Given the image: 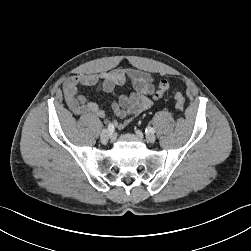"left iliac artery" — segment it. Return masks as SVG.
I'll use <instances>...</instances> for the list:
<instances>
[{
    "label": "left iliac artery",
    "mask_w": 251,
    "mask_h": 251,
    "mask_svg": "<svg viewBox=\"0 0 251 251\" xmlns=\"http://www.w3.org/2000/svg\"><path fill=\"white\" fill-rule=\"evenodd\" d=\"M146 131H148L149 133H152V134L155 133V130L152 127H147Z\"/></svg>",
    "instance_id": "44dca946"
}]
</instances>
